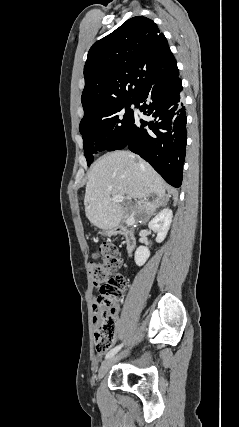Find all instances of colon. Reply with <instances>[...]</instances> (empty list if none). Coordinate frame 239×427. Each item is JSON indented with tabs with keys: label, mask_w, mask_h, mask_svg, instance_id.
<instances>
[{
	"label": "colon",
	"mask_w": 239,
	"mask_h": 427,
	"mask_svg": "<svg viewBox=\"0 0 239 427\" xmlns=\"http://www.w3.org/2000/svg\"><path fill=\"white\" fill-rule=\"evenodd\" d=\"M118 247L113 242H104L90 264L94 285L99 291L94 311L95 347L100 353L110 349L116 330V304L126 287L125 277L117 272Z\"/></svg>",
	"instance_id": "colon-1"
}]
</instances>
